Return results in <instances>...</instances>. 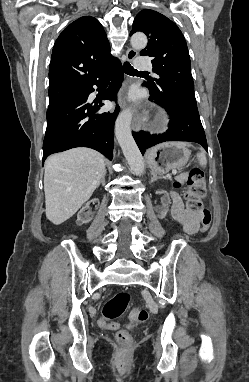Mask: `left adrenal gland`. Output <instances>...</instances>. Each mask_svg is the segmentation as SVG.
I'll use <instances>...</instances> for the list:
<instances>
[{"label": "left adrenal gland", "instance_id": "left-adrenal-gland-1", "mask_svg": "<svg viewBox=\"0 0 249 382\" xmlns=\"http://www.w3.org/2000/svg\"><path fill=\"white\" fill-rule=\"evenodd\" d=\"M157 179H160L155 173H152L151 182L156 181Z\"/></svg>", "mask_w": 249, "mask_h": 382}]
</instances>
